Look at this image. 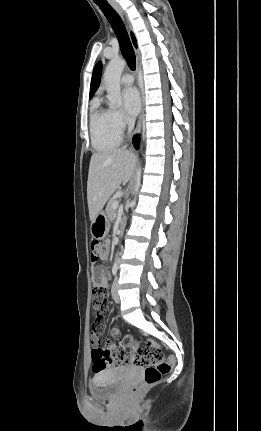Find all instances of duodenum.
<instances>
[{"mask_svg": "<svg viewBox=\"0 0 261 431\" xmlns=\"http://www.w3.org/2000/svg\"><path fill=\"white\" fill-rule=\"evenodd\" d=\"M122 232H123V228L121 227V228H119V230H118V237H120V236L122 235Z\"/></svg>", "mask_w": 261, "mask_h": 431, "instance_id": "duodenum-1", "label": "duodenum"}]
</instances>
